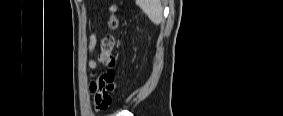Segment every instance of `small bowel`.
I'll list each match as a JSON object with an SVG mask.
<instances>
[{"instance_id":"c3829d8e","label":"small bowel","mask_w":283,"mask_h":116,"mask_svg":"<svg viewBox=\"0 0 283 116\" xmlns=\"http://www.w3.org/2000/svg\"><path fill=\"white\" fill-rule=\"evenodd\" d=\"M95 47V37L93 36L91 38V43H90V49L93 50ZM90 66L92 68L96 67V62L95 61H91L90 62ZM90 92L93 95V99H94V103L96 105V103L103 101V100H107L108 98H111L110 94H109V90L110 89V84L107 82H102L101 81V76L97 77L95 79H93L90 82V86H89Z\"/></svg>"}]
</instances>
